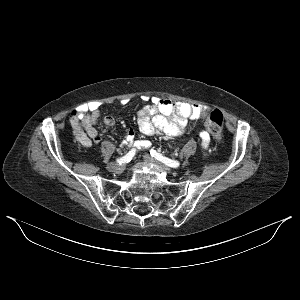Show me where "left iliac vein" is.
I'll list each match as a JSON object with an SVG mask.
<instances>
[{
	"label": "left iliac vein",
	"mask_w": 300,
	"mask_h": 300,
	"mask_svg": "<svg viewBox=\"0 0 300 300\" xmlns=\"http://www.w3.org/2000/svg\"><path fill=\"white\" fill-rule=\"evenodd\" d=\"M144 160H145L146 162H149V163H153V164L158 165L159 167H161L164 171H166V172L169 173V174H176V172L173 171L171 168H169L168 166L162 164L161 162H159L158 160L154 159L153 157H151V156L148 155V154H145V155H144Z\"/></svg>",
	"instance_id": "left-iliac-vein-1"
}]
</instances>
